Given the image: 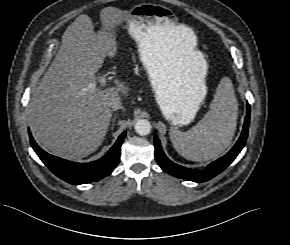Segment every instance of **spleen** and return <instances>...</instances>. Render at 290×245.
<instances>
[{
    "mask_svg": "<svg viewBox=\"0 0 290 245\" xmlns=\"http://www.w3.org/2000/svg\"><path fill=\"white\" fill-rule=\"evenodd\" d=\"M238 104L232 82L221 80L210 110L187 132L170 130L177 152L191 161H208L219 157L231 144L236 129Z\"/></svg>",
    "mask_w": 290,
    "mask_h": 245,
    "instance_id": "obj_1",
    "label": "spleen"
}]
</instances>
